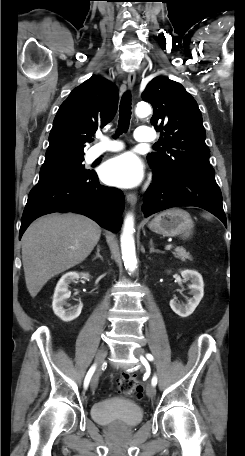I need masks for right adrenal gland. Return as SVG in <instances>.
<instances>
[{
  "label": "right adrenal gland",
  "mask_w": 245,
  "mask_h": 456,
  "mask_svg": "<svg viewBox=\"0 0 245 456\" xmlns=\"http://www.w3.org/2000/svg\"><path fill=\"white\" fill-rule=\"evenodd\" d=\"M100 250H101L100 245H97V252H96V255L94 256V259L100 258L101 260H103V257L100 254Z\"/></svg>",
  "instance_id": "2a0ac1e0"
}]
</instances>
